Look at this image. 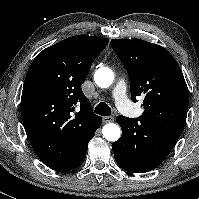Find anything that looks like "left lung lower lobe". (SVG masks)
I'll return each mask as SVG.
<instances>
[{
	"mask_svg": "<svg viewBox=\"0 0 199 199\" xmlns=\"http://www.w3.org/2000/svg\"><path fill=\"white\" fill-rule=\"evenodd\" d=\"M122 128L112 143L117 164L132 173H145L158 167L171 152L179 136L138 118L116 117Z\"/></svg>",
	"mask_w": 199,
	"mask_h": 199,
	"instance_id": "1",
	"label": "left lung lower lobe"
}]
</instances>
